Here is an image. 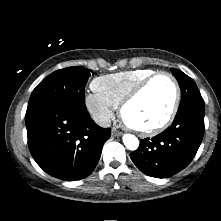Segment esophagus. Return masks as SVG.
I'll return each instance as SVG.
<instances>
[{
	"instance_id": "34e87169",
	"label": "esophagus",
	"mask_w": 221,
	"mask_h": 221,
	"mask_svg": "<svg viewBox=\"0 0 221 221\" xmlns=\"http://www.w3.org/2000/svg\"><path fill=\"white\" fill-rule=\"evenodd\" d=\"M122 134H123V133L120 132L119 130H117V129H115V128L112 129V135H113V136H121Z\"/></svg>"
}]
</instances>
